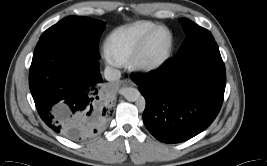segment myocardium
<instances>
[{
  "mask_svg": "<svg viewBox=\"0 0 267 166\" xmlns=\"http://www.w3.org/2000/svg\"><path fill=\"white\" fill-rule=\"evenodd\" d=\"M166 31L169 35L168 46L163 53L157 59H149L145 56L146 49L156 33L159 31ZM174 49V35L173 32L166 26H157L151 30L136 47L133 53L129 57V65L135 70L141 72H151L162 67L171 57Z\"/></svg>",
  "mask_w": 267,
  "mask_h": 166,
  "instance_id": "myocardium-1",
  "label": "myocardium"
}]
</instances>
